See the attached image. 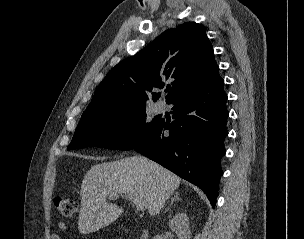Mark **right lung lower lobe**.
I'll use <instances>...</instances> for the list:
<instances>
[{"mask_svg":"<svg viewBox=\"0 0 304 239\" xmlns=\"http://www.w3.org/2000/svg\"><path fill=\"white\" fill-rule=\"evenodd\" d=\"M223 85L217 71L202 83L177 94L168 102L174 105V121L160 120L152 134L133 148L198 186L213 207L223 174L220 165L225 155L223 142L228 135L229 113ZM164 130H169V135H164Z\"/></svg>","mask_w":304,"mask_h":239,"instance_id":"right-lung-lower-lobe-1","label":"right lung lower lobe"}]
</instances>
